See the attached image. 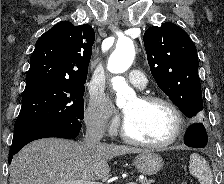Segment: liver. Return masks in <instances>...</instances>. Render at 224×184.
I'll list each match as a JSON object with an SVG mask.
<instances>
[{"mask_svg": "<svg viewBox=\"0 0 224 184\" xmlns=\"http://www.w3.org/2000/svg\"><path fill=\"white\" fill-rule=\"evenodd\" d=\"M144 152L140 149L100 144L87 148L83 143L46 138L25 146L9 167L10 184H57L64 181H97L106 177L113 157Z\"/></svg>", "mask_w": 224, "mask_h": 184, "instance_id": "liver-1", "label": "liver"}]
</instances>
